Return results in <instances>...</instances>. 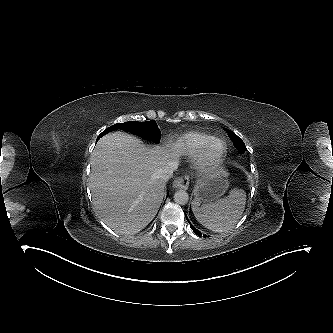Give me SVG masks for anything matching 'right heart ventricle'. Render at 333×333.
<instances>
[{
    "mask_svg": "<svg viewBox=\"0 0 333 333\" xmlns=\"http://www.w3.org/2000/svg\"><path fill=\"white\" fill-rule=\"evenodd\" d=\"M212 137L202 132H187L174 142V148L188 156L199 154Z\"/></svg>",
    "mask_w": 333,
    "mask_h": 333,
    "instance_id": "e07e8e85",
    "label": "right heart ventricle"
}]
</instances>
